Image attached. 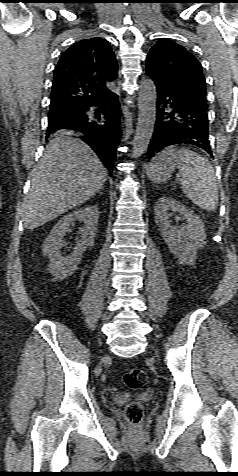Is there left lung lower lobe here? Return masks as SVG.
<instances>
[{
  "instance_id": "0a47b994",
  "label": "left lung lower lobe",
  "mask_w": 238,
  "mask_h": 476,
  "mask_svg": "<svg viewBox=\"0 0 238 476\" xmlns=\"http://www.w3.org/2000/svg\"><path fill=\"white\" fill-rule=\"evenodd\" d=\"M156 93V121L148 157L177 144L199 147L212 156L207 108L184 102L158 87Z\"/></svg>"
}]
</instances>
